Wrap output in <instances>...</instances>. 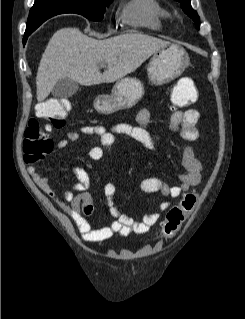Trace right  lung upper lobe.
Instances as JSON below:
<instances>
[{
	"instance_id": "cb5924a9",
	"label": "right lung upper lobe",
	"mask_w": 245,
	"mask_h": 319,
	"mask_svg": "<svg viewBox=\"0 0 245 319\" xmlns=\"http://www.w3.org/2000/svg\"><path fill=\"white\" fill-rule=\"evenodd\" d=\"M64 1L70 0H35V3L29 13L25 32L32 33L50 17L61 13H67L62 3ZM33 18H36V20L34 23H31Z\"/></svg>"
}]
</instances>
